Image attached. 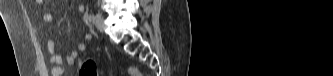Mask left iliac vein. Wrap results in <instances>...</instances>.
Wrapping results in <instances>:
<instances>
[{"instance_id": "4c4485c4", "label": "left iliac vein", "mask_w": 333, "mask_h": 76, "mask_svg": "<svg viewBox=\"0 0 333 76\" xmlns=\"http://www.w3.org/2000/svg\"><path fill=\"white\" fill-rule=\"evenodd\" d=\"M94 24L99 31H104V17L102 16V14H96Z\"/></svg>"}]
</instances>
